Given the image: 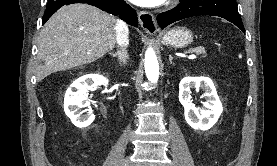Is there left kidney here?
<instances>
[{"instance_id":"left-kidney-1","label":"left kidney","mask_w":277,"mask_h":166,"mask_svg":"<svg viewBox=\"0 0 277 166\" xmlns=\"http://www.w3.org/2000/svg\"><path fill=\"white\" fill-rule=\"evenodd\" d=\"M201 88L207 98L203 108H196L191 103V89ZM179 101L184 107L186 122L195 130H208L218 121L223 107L216 88L208 77H185L179 84Z\"/></svg>"}]
</instances>
